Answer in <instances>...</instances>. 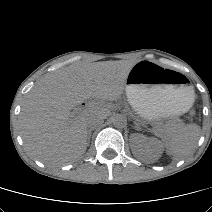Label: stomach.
<instances>
[{
	"label": "stomach",
	"instance_id": "0dacf381",
	"mask_svg": "<svg viewBox=\"0 0 212 212\" xmlns=\"http://www.w3.org/2000/svg\"><path fill=\"white\" fill-rule=\"evenodd\" d=\"M125 91L133 109L146 120L182 114L194 101V90L184 76L146 60L133 65Z\"/></svg>",
	"mask_w": 212,
	"mask_h": 212
}]
</instances>
